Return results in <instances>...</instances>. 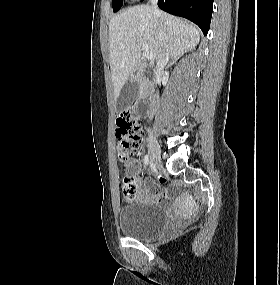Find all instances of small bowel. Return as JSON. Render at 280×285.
Returning a JSON list of instances; mask_svg holds the SVG:
<instances>
[{
  "mask_svg": "<svg viewBox=\"0 0 280 285\" xmlns=\"http://www.w3.org/2000/svg\"><path fill=\"white\" fill-rule=\"evenodd\" d=\"M127 169L139 170V161L136 158H131L126 162ZM135 184L133 196L139 201L144 202H160L162 200V192L159 191L157 194H151L149 192V186L152 185L151 182H145L141 178L135 176L132 178Z\"/></svg>",
  "mask_w": 280,
  "mask_h": 285,
  "instance_id": "1",
  "label": "small bowel"
}]
</instances>
